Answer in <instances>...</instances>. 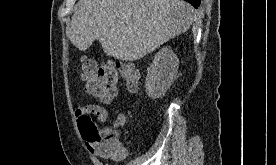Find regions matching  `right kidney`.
<instances>
[{
    "label": "right kidney",
    "instance_id": "obj_1",
    "mask_svg": "<svg viewBox=\"0 0 276 165\" xmlns=\"http://www.w3.org/2000/svg\"><path fill=\"white\" fill-rule=\"evenodd\" d=\"M179 60L168 47L162 48L147 68L145 81L146 93L156 99L165 95L178 73Z\"/></svg>",
    "mask_w": 276,
    "mask_h": 165
}]
</instances>
